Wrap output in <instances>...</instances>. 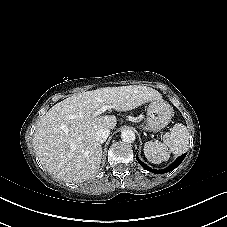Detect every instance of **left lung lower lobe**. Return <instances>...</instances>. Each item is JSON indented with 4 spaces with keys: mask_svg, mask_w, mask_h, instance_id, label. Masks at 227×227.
Here are the masks:
<instances>
[{
    "mask_svg": "<svg viewBox=\"0 0 227 227\" xmlns=\"http://www.w3.org/2000/svg\"><path fill=\"white\" fill-rule=\"evenodd\" d=\"M185 156H186V153L183 154L182 156L178 157L174 163H172L169 167H167L166 169H163V170H156V169H152V168L148 167L146 164H144L139 159L138 154L136 155V159L145 170H148V171L156 173V174H163V173L170 172V171L174 170L177 166H179L181 164V162L184 160Z\"/></svg>",
    "mask_w": 227,
    "mask_h": 227,
    "instance_id": "obj_1",
    "label": "left lung lower lobe"
}]
</instances>
